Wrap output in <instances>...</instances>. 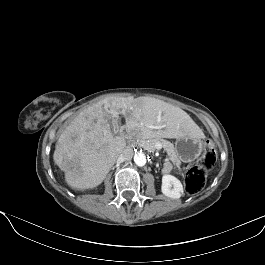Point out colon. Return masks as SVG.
Listing matches in <instances>:
<instances>
[{
    "label": "colon",
    "mask_w": 265,
    "mask_h": 265,
    "mask_svg": "<svg viewBox=\"0 0 265 265\" xmlns=\"http://www.w3.org/2000/svg\"><path fill=\"white\" fill-rule=\"evenodd\" d=\"M217 161L216 151L211 142L206 143L205 151L198 163L190 167L185 174V187L189 194L195 195L205 186L207 172Z\"/></svg>",
    "instance_id": "colon-1"
}]
</instances>
